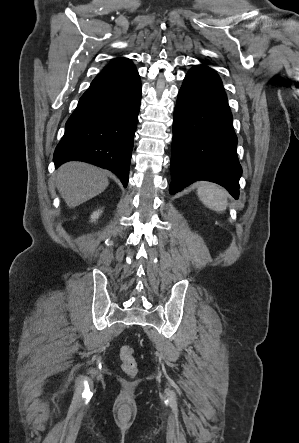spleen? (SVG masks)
Wrapping results in <instances>:
<instances>
[{"label": "spleen", "instance_id": "1", "mask_svg": "<svg viewBox=\"0 0 299 443\" xmlns=\"http://www.w3.org/2000/svg\"><path fill=\"white\" fill-rule=\"evenodd\" d=\"M197 194L200 200L210 209L215 211H223L227 206L226 191L210 183H201L198 187Z\"/></svg>", "mask_w": 299, "mask_h": 443}]
</instances>
